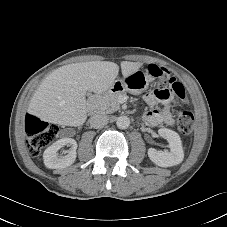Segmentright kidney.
I'll list each match as a JSON object with an SVG mask.
<instances>
[{"label": "right kidney", "mask_w": 227, "mask_h": 227, "mask_svg": "<svg viewBox=\"0 0 227 227\" xmlns=\"http://www.w3.org/2000/svg\"><path fill=\"white\" fill-rule=\"evenodd\" d=\"M65 145L71 146L67 155L58 154ZM77 143L72 138H62L49 146L43 154L44 164L49 169H62L72 165L76 159Z\"/></svg>", "instance_id": "obj_1"}]
</instances>
